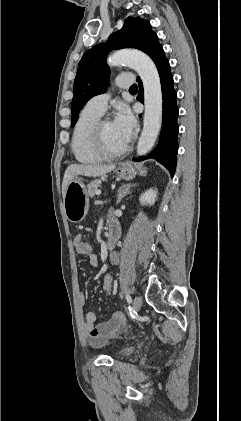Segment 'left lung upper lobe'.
Here are the masks:
<instances>
[{"label":"left lung upper lobe","instance_id":"1","mask_svg":"<svg viewBox=\"0 0 241 421\" xmlns=\"http://www.w3.org/2000/svg\"><path fill=\"white\" fill-rule=\"evenodd\" d=\"M155 35L149 21L128 17L121 30L110 35L106 44L95 45L84 53L74 81L71 127L77 122L79 112L86 102L93 96L104 93L109 85L107 53L122 48H136L145 52Z\"/></svg>","mask_w":241,"mask_h":421}]
</instances>
